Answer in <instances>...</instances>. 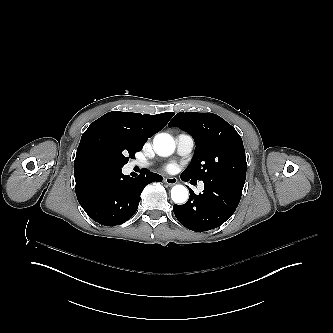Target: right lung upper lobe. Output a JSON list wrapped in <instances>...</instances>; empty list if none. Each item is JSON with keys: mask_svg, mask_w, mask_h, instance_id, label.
Returning <instances> with one entry per match:
<instances>
[{"mask_svg": "<svg viewBox=\"0 0 333 333\" xmlns=\"http://www.w3.org/2000/svg\"><path fill=\"white\" fill-rule=\"evenodd\" d=\"M173 115L172 112L142 115L140 113L112 111L94 121L83 133L81 139L93 131L102 130L116 133L133 144L143 147L147 139L160 131Z\"/></svg>", "mask_w": 333, "mask_h": 333, "instance_id": "right-lung-upper-lobe-1", "label": "right lung upper lobe"}]
</instances>
